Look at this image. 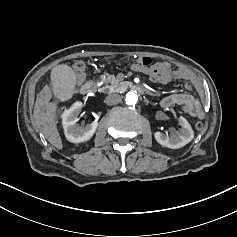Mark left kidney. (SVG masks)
Segmentation results:
<instances>
[{
	"label": "left kidney",
	"mask_w": 237,
	"mask_h": 237,
	"mask_svg": "<svg viewBox=\"0 0 237 237\" xmlns=\"http://www.w3.org/2000/svg\"><path fill=\"white\" fill-rule=\"evenodd\" d=\"M180 132L171 136L160 131L154 133V138L158 144L170 149H178L188 144L194 138V132L189 122L182 116L179 117Z\"/></svg>",
	"instance_id": "1"
}]
</instances>
